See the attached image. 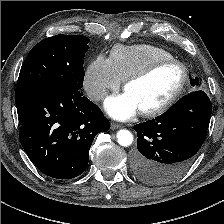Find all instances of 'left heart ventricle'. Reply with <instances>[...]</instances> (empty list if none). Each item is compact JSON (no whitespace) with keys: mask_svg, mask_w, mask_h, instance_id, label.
Instances as JSON below:
<instances>
[{"mask_svg":"<svg viewBox=\"0 0 224 224\" xmlns=\"http://www.w3.org/2000/svg\"><path fill=\"white\" fill-rule=\"evenodd\" d=\"M181 75L178 66L167 65L146 79L132 83L126 92L136 101L139 111L150 109L164 102L174 92Z\"/></svg>","mask_w":224,"mask_h":224,"instance_id":"b2bd125f","label":"left heart ventricle"}]
</instances>
